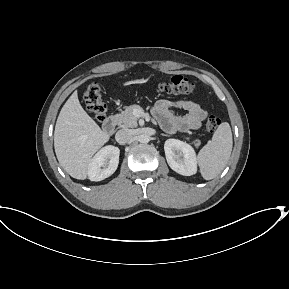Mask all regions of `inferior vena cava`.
Returning a JSON list of instances; mask_svg holds the SVG:
<instances>
[{
    "mask_svg": "<svg viewBox=\"0 0 289 289\" xmlns=\"http://www.w3.org/2000/svg\"><path fill=\"white\" fill-rule=\"evenodd\" d=\"M132 136H133L132 130L124 128L116 133L115 139L118 143L125 144L132 139Z\"/></svg>",
    "mask_w": 289,
    "mask_h": 289,
    "instance_id": "1",
    "label": "inferior vena cava"
}]
</instances>
